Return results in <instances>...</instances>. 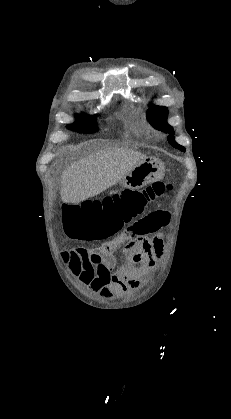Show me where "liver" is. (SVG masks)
I'll list each match as a JSON object with an SVG mask.
<instances>
[{
  "label": "liver",
  "instance_id": "1",
  "mask_svg": "<svg viewBox=\"0 0 231 419\" xmlns=\"http://www.w3.org/2000/svg\"><path fill=\"white\" fill-rule=\"evenodd\" d=\"M140 152L127 148H105L72 164L61 177V199L79 204L119 182L142 159Z\"/></svg>",
  "mask_w": 231,
  "mask_h": 419
}]
</instances>
